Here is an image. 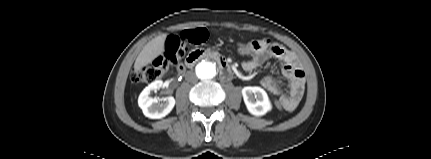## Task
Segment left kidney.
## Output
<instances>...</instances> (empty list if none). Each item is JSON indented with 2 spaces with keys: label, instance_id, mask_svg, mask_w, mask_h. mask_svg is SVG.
Here are the masks:
<instances>
[{
  "label": "left kidney",
  "instance_id": "5707ae66",
  "mask_svg": "<svg viewBox=\"0 0 431 159\" xmlns=\"http://www.w3.org/2000/svg\"><path fill=\"white\" fill-rule=\"evenodd\" d=\"M242 96L248 111L254 116H263L272 109L268 95L261 87H244Z\"/></svg>",
  "mask_w": 431,
  "mask_h": 159
}]
</instances>
